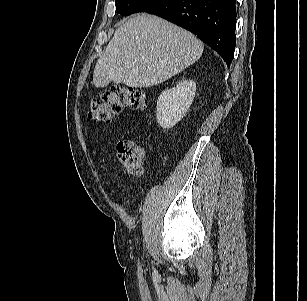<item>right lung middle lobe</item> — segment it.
<instances>
[{
  "label": "right lung middle lobe",
  "instance_id": "obj_1",
  "mask_svg": "<svg viewBox=\"0 0 307 301\" xmlns=\"http://www.w3.org/2000/svg\"><path fill=\"white\" fill-rule=\"evenodd\" d=\"M158 0H115L116 12L121 15H130L143 11Z\"/></svg>",
  "mask_w": 307,
  "mask_h": 301
}]
</instances>
